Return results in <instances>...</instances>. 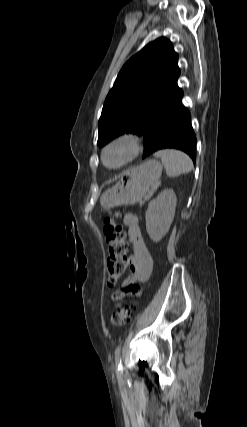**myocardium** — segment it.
I'll use <instances>...</instances> for the list:
<instances>
[{"instance_id":"1","label":"myocardium","mask_w":247,"mask_h":427,"mask_svg":"<svg viewBox=\"0 0 247 427\" xmlns=\"http://www.w3.org/2000/svg\"><path fill=\"white\" fill-rule=\"evenodd\" d=\"M122 149L124 151V157L117 163H109L107 160V155L113 149ZM141 143L140 138L133 133H122L112 138L106 145L102 148L101 151V161L102 164L112 170L120 169L130 162H132L140 153Z\"/></svg>"}]
</instances>
